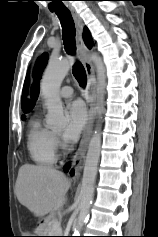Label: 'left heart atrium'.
Returning a JSON list of instances; mask_svg holds the SVG:
<instances>
[{
  "label": "left heart atrium",
  "mask_w": 158,
  "mask_h": 237,
  "mask_svg": "<svg viewBox=\"0 0 158 237\" xmlns=\"http://www.w3.org/2000/svg\"><path fill=\"white\" fill-rule=\"evenodd\" d=\"M66 113L68 123L63 138L66 143H74L78 140L86 125V110L81 101H73L67 106Z\"/></svg>",
  "instance_id": "39dd6f15"
}]
</instances>
